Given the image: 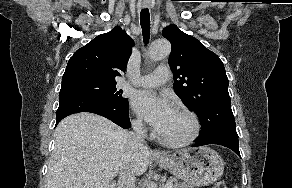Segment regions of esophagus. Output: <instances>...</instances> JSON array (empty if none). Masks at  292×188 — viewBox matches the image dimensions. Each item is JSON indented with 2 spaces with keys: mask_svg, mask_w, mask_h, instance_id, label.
I'll use <instances>...</instances> for the list:
<instances>
[{
  "mask_svg": "<svg viewBox=\"0 0 292 188\" xmlns=\"http://www.w3.org/2000/svg\"><path fill=\"white\" fill-rule=\"evenodd\" d=\"M148 6L149 5L147 3L143 4V7H148ZM151 155L154 157H164L165 156V154L163 152H161L160 150H157V149L153 150L151 152Z\"/></svg>",
  "mask_w": 292,
  "mask_h": 188,
  "instance_id": "1",
  "label": "esophagus"
}]
</instances>
